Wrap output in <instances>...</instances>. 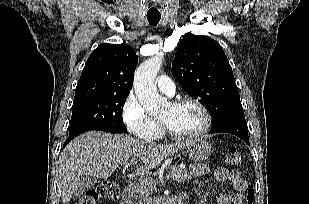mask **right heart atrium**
<instances>
[{"instance_id":"1","label":"right heart atrium","mask_w":309,"mask_h":204,"mask_svg":"<svg viewBox=\"0 0 309 204\" xmlns=\"http://www.w3.org/2000/svg\"><path fill=\"white\" fill-rule=\"evenodd\" d=\"M122 117L127 129L136 137L153 140L160 133L159 122L147 113L133 93L128 95L123 104Z\"/></svg>"}]
</instances>
